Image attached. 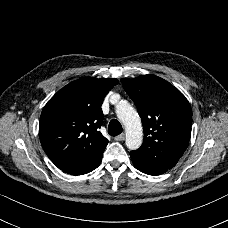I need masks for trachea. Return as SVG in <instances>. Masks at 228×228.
<instances>
[{
  "mask_svg": "<svg viewBox=\"0 0 228 228\" xmlns=\"http://www.w3.org/2000/svg\"><path fill=\"white\" fill-rule=\"evenodd\" d=\"M122 131H123V128L121 123L116 119H112L108 125V133L111 136H117L121 134Z\"/></svg>",
  "mask_w": 228,
  "mask_h": 228,
  "instance_id": "1",
  "label": "trachea"
}]
</instances>
